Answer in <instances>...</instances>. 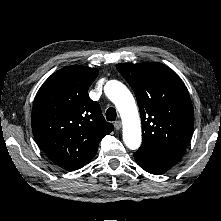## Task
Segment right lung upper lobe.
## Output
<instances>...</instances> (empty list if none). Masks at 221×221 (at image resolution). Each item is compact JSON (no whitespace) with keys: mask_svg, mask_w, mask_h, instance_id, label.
I'll return each mask as SVG.
<instances>
[{"mask_svg":"<svg viewBox=\"0 0 221 221\" xmlns=\"http://www.w3.org/2000/svg\"><path fill=\"white\" fill-rule=\"evenodd\" d=\"M98 72L79 65L60 69L43 83L34 100L33 135L44 153L68 171L88 163L100 140L113 130L88 95Z\"/></svg>","mask_w":221,"mask_h":221,"instance_id":"right-lung-upper-lobe-1","label":"right lung upper lobe"}]
</instances>
